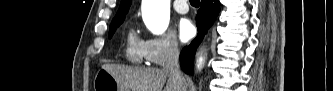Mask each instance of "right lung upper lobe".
<instances>
[{
    "mask_svg": "<svg viewBox=\"0 0 333 91\" xmlns=\"http://www.w3.org/2000/svg\"><path fill=\"white\" fill-rule=\"evenodd\" d=\"M130 5H131V0H121L119 10L117 11V14L114 17V19L125 18V15L128 12Z\"/></svg>",
    "mask_w": 333,
    "mask_h": 91,
    "instance_id": "1",
    "label": "right lung upper lobe"
}]
</instances>
